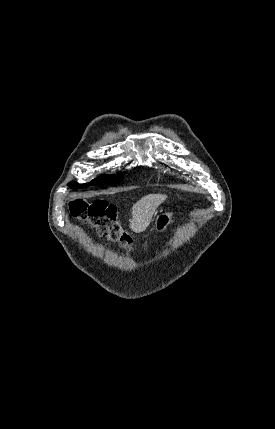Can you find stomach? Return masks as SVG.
Segmentation results:
<instances>
[{"label":"stomach","instance_id":"0dacf381","mask_svg":"<svg viewBox=\"0 0 275 429\" xmlns=\"http://www.w3.org/2000/svg\"><path fill=\"white\" fill-rule=\"evenodd\" d=\"M173 221V213L165 212L156 216L154 221V229L156 232H163Z\"/></svg>","mask_w":275,"mask_h":429}]
</instances>
